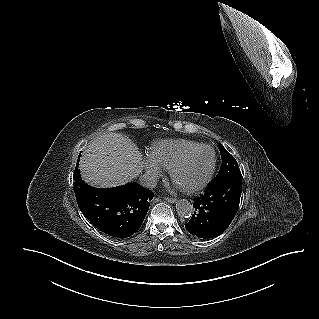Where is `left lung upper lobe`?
Instances as JSON below:
<instances>
[{"label":"left lung upper lobe","mask_w":319,"mask_h":319,"mask_svg":"<svg viewBox=\"0 0 319 319\" xmlns=\"http://www.w3.org/2000/svg\"><path fill=\"white\" fill-rule=\"evenodd\" d=\"M219 150L222 158V164L219 173L210 184H216L231 176L241 177V171L235 158L223 147L222 144H219Z\"/></svg>","instance_id":"1"}]
</instances>
